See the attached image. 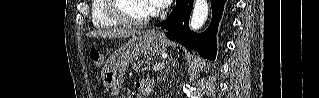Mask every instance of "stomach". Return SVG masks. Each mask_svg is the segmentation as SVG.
Instances as JSON below:
<instances>
[{"label": "stomach", "mask_w": 319, "mask_h": 98, "mask_svg": "<svg viewBox=\"0 0 319 98\" xmlns=\"http://www.w3.org/2000/svg\"><path fill=\"white\" fill-rule=\"evenodd\" d=\"M168 41L164 36L155 31H146L134 35L123 44L113 55V61L108 65L102 80L106 91L116 94L122 85L123 76L129 63L140 56H157L167 49Z\"/></svg>", "instance_id": "1"}]
</instances>
